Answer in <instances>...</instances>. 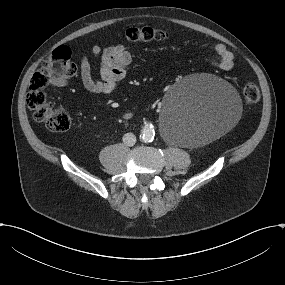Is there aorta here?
<instances>
[{
  "instance_id": "aorta-1",
  "label": "aorta",
  "mask_w": 285,
  "mask_h": 285,
  "mask_svg": "<svg viewBox=\"0 0 285 285\" xmlns=\"http://www.w3.org/2000/svg\"><path fill=\"white\" fill-rule=\"evenodd\" d=\"M154 137H155V131L152 124L145 125L140 132L141 141L145 143L152 142L154 140Z\"/></svg>"
}]
</instances>
